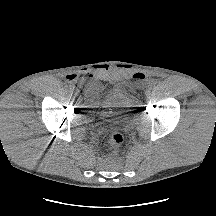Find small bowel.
Returning <instances> with one entry per match:
<instances>
[{"label":"small bowel","instance_id":"1","mask_svg":"<svg viewBox=\"0 0 216 216\" xmlns=\"http://www.w3.org/2000/svg\"><path fill=\"white\" fill-rule=\"evenodd\" d=\"M134 80H143L144 79V75L142 73H136L134 74L133 76ZM66 80L68 82H74L77 80V76L76 75H68L66 77ZM99 88V84L97 82H93L91 85H90V91L92 92H96V90Z\"/></svg>","mask_w":216,"mask_h":216}]
</instances>
